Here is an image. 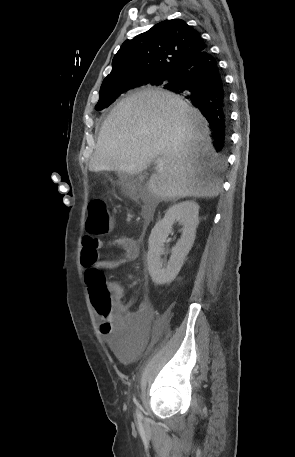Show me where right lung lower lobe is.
<instances>
[{
  "instance_id": "right-lung-lower-lobe-1",
  "label": "right lung lower lobe",
  "mask_w": 295,
  "mask_h": 457,
  "mask_svg": "<svg viewBox=\"0 0 295 457\" xmlns=\"http://www.w3.org/2000/svg\"><path fill=\"white\" fill-rule=\"evenodd\" d=\"M166 89L184 96L200 109L213 133L217 152L227 146L228 95L218 63L206 50L186 61Z\"/></svg>"
}]
</instances>
